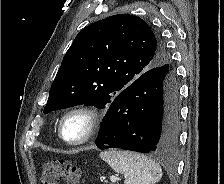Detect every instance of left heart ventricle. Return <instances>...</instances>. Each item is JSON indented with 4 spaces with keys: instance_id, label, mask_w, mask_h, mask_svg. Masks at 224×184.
I'll use <instances>...</instances> for the list:
<instances>
[{
    "instance_id": "obj_1",
    "label": "left heart ventricle",
    "mask_w": 224,
    "mask_h": 184,
    "mask_svg": "<svg viewBox=\"0 0 224 184\" xmlns=\"http://www.w3.org/2000/svg\"><path fill=\"white\" fill-rule=\"evenodd\" d=\"M87 119L83 115L69 117L63 126L64 136L72 141L80 139L86 132Z\"/></svg>"
}]
</instances>
